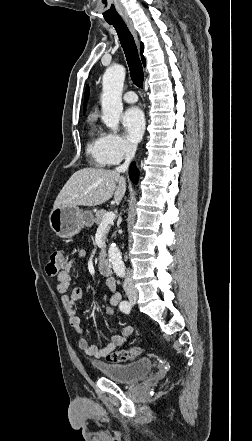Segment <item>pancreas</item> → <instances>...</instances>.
I'll return each instance as SVG.
<instances>
[{"label": "pancreas", "mask_w": 252, "mask_h": 441, "mask_svg": "<svg viewBox=\"0 0 252 441\" xmlns=\"http://www.w3.org/2000/svg\"><path fill=\"white\" fill-rule=\"evenodd\" d=\"M95 213H96V214H95V217H94V222H95L97 225H100L101 222H102L103 216H104L107 212H106L104 209H101V210L96 211ZM108 231H109V227L107 228V230H106V232H105L104 240L106 239V234L108 233ZM105 248H106V245L104 244V245H103V248L101 249L100 256L105 255V253H106Z\"/></svg>", "instance_id": "pancreas-1"}]
</instances>
